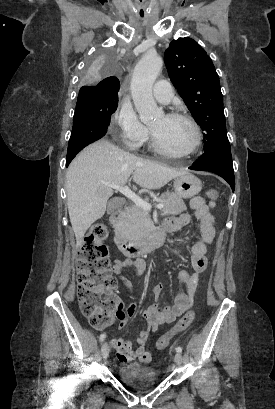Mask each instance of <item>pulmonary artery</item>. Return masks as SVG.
Wrapping results in <instances>:
<instances>
[{"label": "pulmonary artery", "instance_id": "e3ab8cb5", "mask_svg": "<svg viewBox=\"0 0 275 409\" xmlns=\"http://www.w3.org/2000/svg\"><path fill=\"white\" fill-rule=\"evenodd\" d=\"M175 92V87L170 85L169 79H158L154 87V96L161 103H168Z\"/></svg>", "mask_w": 275, "mask_h": 409}]
</instances>
